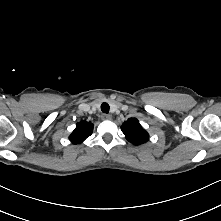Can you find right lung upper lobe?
I'll return each instance as SVG.
<instances>
[{"mask_svg": "<svg viewBox=\"0 0 221 221\" xmlns=\"http://www.w3.org/2000/svg\"><path fill=\"white\" fill-rule=\"evenodd\" d=\"M92 131L93 124L83 120L77 124L75 130L69 136V139L73 144L82 143L87 137L92 134Z\"/></svg>", "mask_w": 221, "mask_h": 221, "instance_id": "1", "label": "right lung upper lobe"}]
</instances>
